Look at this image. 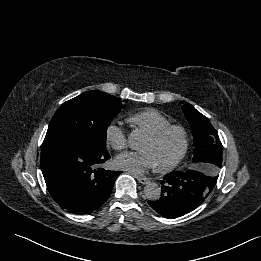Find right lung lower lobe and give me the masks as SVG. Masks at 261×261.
<instances>
[{
    "label": "right lung lower lobe",
    "mask_w": 261,
    "mask_h": 261,
    "mask_svg": "<svg viewBox=\"0 0 261 261\" xmlns=\"http://www.w3.org/2000/svg\"><path fill=\"white\" fill-rule=\"evenodd\" d=\"M108 159L106 148L85 145L41 151V169L50 195L62 208L75 214L96 210L109 198L120 175L97 168Z\"/></svg>",
    "instance_id": "right-lung-lower-lobe-1"
}]
</instances>
